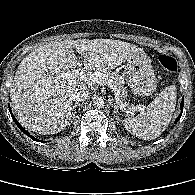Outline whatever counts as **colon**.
<instances>
[{
	"label": "colon",
	"mask_w": 195,
	"mask_h": 195,
	"mask_svg": "<svg viewBox=\"0 0 195 195\" xmlns=\"http://www.w3.org/2000/svg\"><path fill=\"white\" fill-rule=\"evenodd\" d=\"M158 63L168 73L175 72L177 68V62L175 58L170 55H160L158 57Z\"/></svg>",
	"instance_id": "5ec220e1"
}]
</instances>
